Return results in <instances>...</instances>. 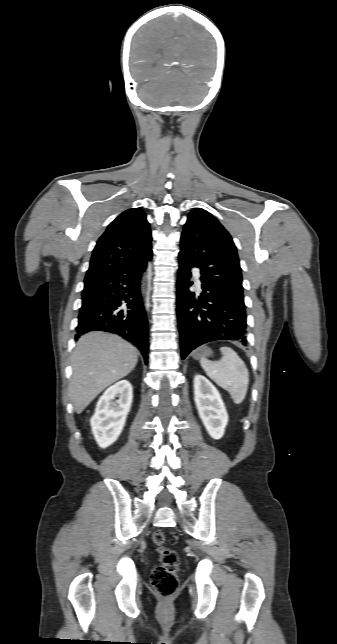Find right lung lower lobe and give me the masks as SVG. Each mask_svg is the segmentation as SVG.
<instances>
[{"label":"right lung lower lobe","mask_w":337,"mask_h":644,"mask_svg":"<svg viewBox=\"0 0 337 644\" xmlns=\"http://www.w3.org/2000/svg\"><path fill=\"white\" fill-rule=\"evenodd\" d=\"M147 260L121 266L85 286L76 328L80 334L89 331L118 334L141 351L145 363L148 361V323L140 280ZM79 336L76 335V340Z\"/></svg>","instance_id":"1"}]
</instances>
